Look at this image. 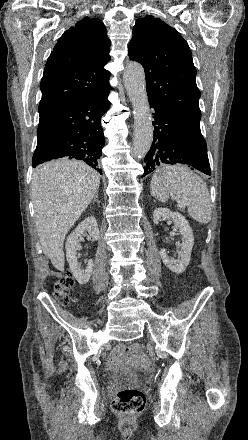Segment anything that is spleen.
I'll list each match as a JSON object with an SVG mask.
<instances>
[{"label":"spleen","instance_id":"1","mask_svg":"<svg viewBox=\"0 0 248 440\" xmlns=\"http://www.w3.org/2000/svg\"><path fill=\"white\" fill-rule=\"evenodd\" d=\"M151 194L160 202L169 197L188 205V214L197 222L211 221V199L208 188L201 177L182 165H164L153 174Z\"/></svg>","mask_w":248,"mask_h":440}]
</instances>
